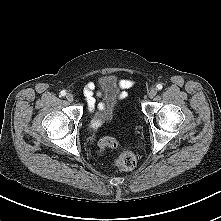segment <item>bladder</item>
<instances>
[{
    "label": "bladder",
    "instance_id": "obj_1",
    "mask_svg": "<svg viewBox=\"0 0 221 221\" xmlns=\"http://www.w3.org/2000/svg\"><path fill=\"white\" fill-rule=\"evenodd\" d=\"M102 83L108 90L114 89L113 79H105ZM118 110V92L114 91L111 96L102 97L100 104L92 111L91 118L94 121L111 122L116 118Z\"/></svg>",
    "mask_w": 221,
    "mask_h": 221
}]
</instances>
